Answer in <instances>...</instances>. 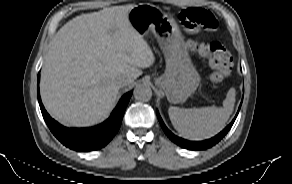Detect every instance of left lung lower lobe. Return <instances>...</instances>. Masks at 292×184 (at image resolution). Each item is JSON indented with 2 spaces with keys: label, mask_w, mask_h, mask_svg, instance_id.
<instances>
[{
  "label": "left lung lower lobe",
  "mask_w": 292,
  "mask_h": 184,
  "mask_svg": "<svg viewBox=\"0 0 292 184\" xmlns=\"http://www.w3.org/2000/svg\"><path fill=\"white\" fill-rule=\"evenodd\" d=\"M241 107V105H240ZM240 107L238 109V112L240 110ZM238 112L235 116V118L233 119V121L223 130L221 131L218 135H216L215 137L211 138V139H208V140H205V141H188V140H185V139H182L180 137H177L175 136L172 132H170L167 127L165 126V124L163 123L159 113L157 112V117H158V120L160 122V125L163 129V131L166 133V135L174 142L176 143L177 145L183 147V148H186V149H190V150H204V149H207V148H210L212 147L213 145H215L216 143H218L226 134L227 132L230 130V128L232 127L237 115H238Z\"/></svg>",
  "instance_id": "obj_1"
}]
</instances>
